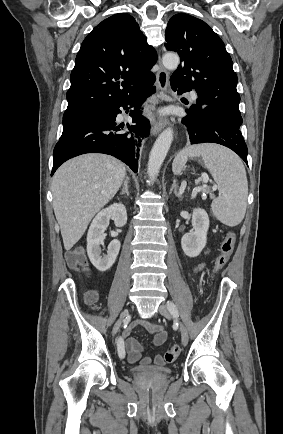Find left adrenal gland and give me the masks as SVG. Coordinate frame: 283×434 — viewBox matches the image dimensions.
<instances>
[{"label": "left adrenal gland", "instance_id": "left-adrenal-gland-1", "mask_svg": "<svg viewBox=\"0 0 283 434\" xmlns=\"http://www.w3.org/2000/svg\"><path fill=\"white\" fill-rule=\"evenodd\" d=\"M177 188H178V186L176 184V180H173V184L171 186L169 194H172V192H174L175 196L177 198L181 199L182 198V194H181V192H178Z\"/></svg>", "mask_w": 283, "mask_h": 434}]
</instances>
